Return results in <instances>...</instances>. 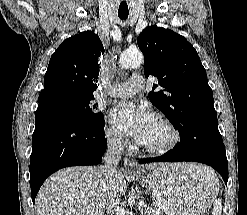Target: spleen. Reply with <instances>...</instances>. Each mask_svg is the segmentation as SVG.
<instances>
[{"instance_id":"1","label":"spleen","mask_w":247,"mask_h":215,"mask_svg":"<svg viewBox=\"0 0 247 215\" xmlns=\"http://www.w3.org/2000/svg\"><path fill=\"white\" fill-rule=\"evenodd\" d=\"M222 213V202L220 199L214 200L213 215H221Z\"/></svg>"}]
</instances>
